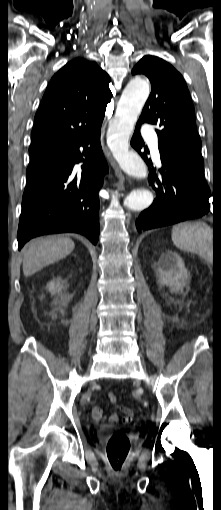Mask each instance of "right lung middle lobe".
<instances>
[{
	"label": "right lung middle lobe",
	"instance_id": "obj_1",
	"mask_svg": "<svg viewBox=\"0 0 221 510\" xmlns=\"http://www.w3.org/2000/svg\"><path fill=\"white\" fill-rule=\"evenodd\" d=\"M51 151H53V150H49V151H39V152H32V153H30V157H31V159L38 158V157H40V156H42V155H44V154H46V153H49V152H51Z\"/></svg>",
	"mask_w": 221,
	"mask_h": 510
}]
</instances>
